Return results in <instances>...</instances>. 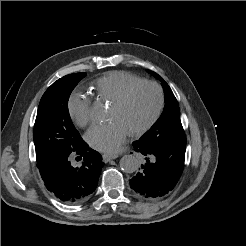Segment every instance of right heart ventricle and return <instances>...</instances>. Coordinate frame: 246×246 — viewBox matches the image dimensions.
Returning <instances> with one entry per match:
<instances>
[{"instance_id": "e07e8e85", "label": "right heart ventricle", "mask_w": 246, "mask_h": 246, "mask_svg": "<svg viewBox=\"0 0 246 246\" xmlns=\"http://www.w3.org/2000/svg\"><path fill=\"white\" fill-rule=\"evenodd\" d=\"M141 80L137 75L116 71L98 78L93 89L98 98L112 103L128 86Z\"/></svg>"}]
</instances>
